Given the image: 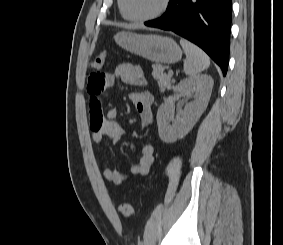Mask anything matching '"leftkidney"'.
I'll return each mask as SVG.
<instances>
[{
  "mask_svg": "<svg viewBox=\"0 0 283 245\" xmlns=\"http://www.w3.org/2000/svg\"><path fill=\"white\" fill-rule=\"evenodd\" d=\"M213 84V78L206 74L186 78L178 83L175 88L177 95H191L193 91L195 94L193 101L185 106L178 119L173 116V103H165L159 107L157 125L163 142L173 143L191 131L208 105Z\"/></svg>",
  "mask_w": 283,
  "mask_h": 245,
  "instance_id": "1",
  "label": "left kidney"
}]
</instances>
